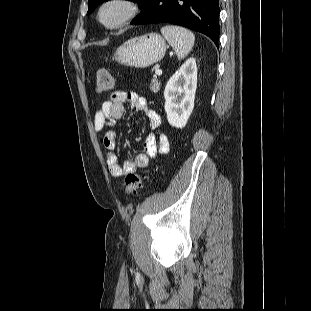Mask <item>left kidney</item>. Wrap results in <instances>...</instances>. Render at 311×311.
Listing matches in <instances>:
<instances>
[{
    "label": "left kidney",
    "mask_w": 311,
    "mask_h": 311,
    "mask_svg": "<svg viewBox=\"0 0 311 311\" xmlns=\"http://www.w3.org/2000/svg\"><path fill=\"white\" fill-rule=\"evenodd\" d=\"M197 87V67L189 58L169 79L164 90L165 112L169 124L183 128L194 108Z\"/></svg>",
    "instance_id": "5707ae66"
}]
</instances>
